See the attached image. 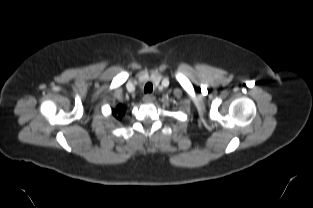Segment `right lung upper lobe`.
I'll return each instance as SVG.
<instances>
[{"label":"right lung upper lobe","mask_w":313,"mask_h":208,"mask_svg":"<svg viewBox=\"0 0 313 208\" xmlns=\"http://www.w3.org/2000/svg\"><path fill=\"white\" fill-rule=\"evenodd\" d=\"M124 112H125V107L123 105H118L116 109L112 110L114 117L118 120H121Z\"/></svg>","instance_id":"cb5924a9"}]
</instances>
